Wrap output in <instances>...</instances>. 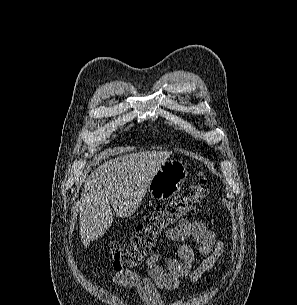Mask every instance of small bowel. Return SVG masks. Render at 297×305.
<instances>
[{
  "label": "small bowel",
  "instance_id": "obj_1",
  "mask_svg": "<svg viewBox=\"0 0 297 305\" xmlns=\"http://www.w3.org/2000/svg\"><path fill=\"white\" fill-rule=\"evenodd\" d=\"M165 236L176 245V256L163 253L152 255L147 260L146 274L131 270L114 274L117 286L135 289L139 293L141 305H162L160 289L174 290L185 278L197 283L224 253V243L200 220L183 219ZM196 254L204 258L199 266L193 268Z\"/></svg>",
  "mask_w": 297,
  "mask_h": 305
}]
</instances>
